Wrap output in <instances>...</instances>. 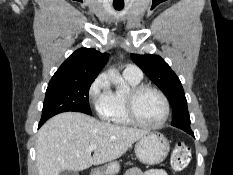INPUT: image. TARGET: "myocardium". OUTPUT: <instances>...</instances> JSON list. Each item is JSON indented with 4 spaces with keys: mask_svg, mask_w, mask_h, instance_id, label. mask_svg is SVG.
<instances>
[{
    "mask_svg": "<svg viewBox=\"0 0 233 175\" xmlns=\"http://www.w3.org/2000/svg\"><path fill=\"white\" fill-rule=\"evenodd\" d=\"M146 90H151L157 93L162 99V102L164 105V115L162 119L159 122L154 123V124H148V123L142 122L138 118L137 112H136L137 98L142 92ZM125 107H126V112H127V115L130 121L134 125L145 128V129H158L162 127L167 122L169 115H170V103L165 93L159 88L152 86V85H148V84H139L137 86L131 87L126 93Z\"/></svg>",
    "mask_w": 233,
    "mask_h": 175,
    "instance_id": "f54148a6",
    "label": "myocardium"
}]
</instances>
